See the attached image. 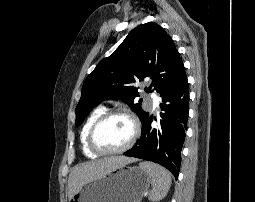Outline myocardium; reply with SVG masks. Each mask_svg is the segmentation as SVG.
<instances>
[{"instance_id": "f54148a6", "label": "myocardium", "mask_w": 255, "mask_h": 202, "mask_svg": "<svg viewBox=\"0 0 255 202\" xmlns=\"http://www.w3.org/2000/svg\"><path fill=\"white\" fill-rule=\"evenodd\" d=\"M113 116H123L127 118L131 124H132V135L129 141L121 148L116 149V150H111V151H106L102 150L99 148L95 142V134L100 127V125L106 121L108 118L113 117ZM141 133V126L134 114L131 112L124 110V109H113L106 111L102 113L92 124L88 136H87V143L89 148L96 153L97 155H103V156H108V155H118L126 152L129 150L138 140L139 136Z\"/></svg>"}]
</instances>
